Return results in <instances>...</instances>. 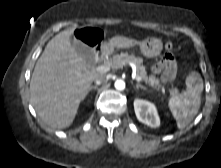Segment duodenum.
<instances>
[{"mask_svg": "<svg viewBox=\"0 0 221 168\" xmlns=\"http://www.w3.org/2000/svg\"><path fill=\"white\" fill-rule=\"evenodd\" d=\"M105 53H106V47L102 43L97 44L93 49L94 60L96 62L102 60Z\"/></svg>", "mask_w": 221, "mask_h": 168, "instance_id": "1", "label": "duodenum"}]
</instances>
